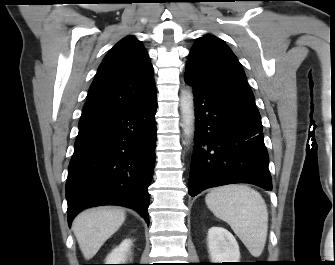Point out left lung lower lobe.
<instances>
[{
	"label": "left lung lower lobe",
	"instance_id": "0a47b994",
	"mask_svg": "<svg viewBox=\"0 0 335 265\" xmlns=\"http://www.w3.org/2000/svg\"><path fill=\"white\" fill-rule=\"evenodd\" d=\"M196 111L189 194L232 183L272 189L269 157L257 107L215 90L185 73Z\"/></svg>",
	"mask_w": 335,
	"mask_h": 265
}]
</instances>
